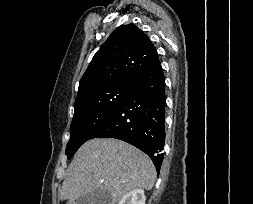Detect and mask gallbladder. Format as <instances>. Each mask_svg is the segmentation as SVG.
Segmentation results:
<instances>
[{
    "instance_id": "1",
    "label": "gallbladder",
    "mask_w": 253,
    "mask_h": 204,
    "mask_svg": "<svg viewBox=\"0 0 253 204\" xmlns=\"http://www.w3.org/2000/svg\"><path fill=\"white\" fill-rule=\"evenodd\" d=\"M111 201L110 193L100 190L81 196L75 204H112Z\"/></svg>"
}]
</instances>
